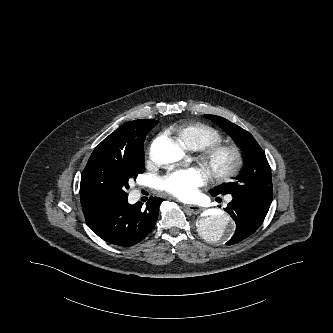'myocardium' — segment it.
<instances>
[{"label": "myocardium", "mask_w": 333, "mask_h": 333, "mask_svg": "<svg viewBox=\"0 0 333 333\" xmlns=\"http://www.w3.org/2000/svg\"><path fill=\"white\" fill-rule=\"evenodd\" d=\"M200 160L214 179L224 181L241 169L244 157L238 145L218 143L204 148Z\"/></svg>", "instance_id": "obj_1"}]
</instances>
